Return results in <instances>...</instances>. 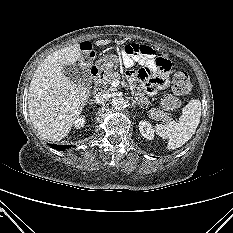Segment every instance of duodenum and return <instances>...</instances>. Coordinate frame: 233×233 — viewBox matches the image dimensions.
<instances>
[{"instance_id":"duodenum-1","label":"duodenum","mask_w":233,"mask_h":233,"mask_svg":"<svg viewBox=\"0 0 233 233\" xmlns=\"http://www.w3.org/2000/svg\"><path fill=\"white\" fill-rule=\"evenodd\" d=\"M91 76L96 83H99L102 80L104 73L101 69L94 66L91 68Z\"/></svg>"}]
</instances>
